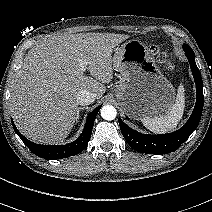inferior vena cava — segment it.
Segmentation results:
<instances>
[{"mask_svg":"<svg viewBox=\"0 0 212 212\" xmlns=\"http://www.w3.org/2000/svg\"><path fill=\"white\" fill-rule=\"evenodd\" d=\"M95 94L91 93L89 91L86 90H81L78 94H77V103L79 105H89L91 103H93L95 101Z\"/></svg>","mask_w":212,"mask_h":212,"instance_id":"inferior-vena-cava-1","label":"inferior vena cava"}]
</instances>
